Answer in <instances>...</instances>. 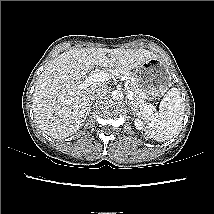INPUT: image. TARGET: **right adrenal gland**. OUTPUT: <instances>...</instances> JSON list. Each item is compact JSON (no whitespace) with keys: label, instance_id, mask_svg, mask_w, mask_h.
Instances as JSON below:
<instances>
[{"label":"right adrenal gland","instance_id":"2a0ac1e0","mask_svg":"<svg viewBox=\"0 0 214 214\" xmlns=\"http://www.w3.org/2000/svg\"><path fill=\"white\" fill-rule=\"evenodd\" d=\"M93 103H90V107L92 106Z\"/></svg>","mask_w":214,"mask_h":214}]
</instances>
